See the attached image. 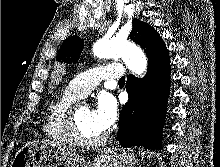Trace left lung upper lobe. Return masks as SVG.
<instances>
[{
	"label": "left lung upper lobe",
	"instance_id": "5c2ea615",
	"mask_svg": "<svg viewBox=\"0 0 220 167\" xmlns=\"http://www.w3.org/2000/svg\"><path fill=\"white\" fill-rule=\"evenodd\" d=\"M129 36L145 50L147 56L158 55L166 49L157 31L138 19H133V27ZM82 49L81 39L76 35L72 36L62 44L56 60L75 64Z\"/></svg>",
	"mask_w": 220,
	"mask_h": 167
}]
</instances>
